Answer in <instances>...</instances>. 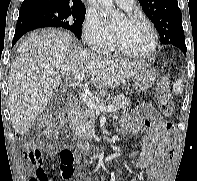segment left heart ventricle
Here are the masks:
<instances>
[{
  "instance_id": "b2bd125f",
  "label": "left heart ventricle",
  "mask_w": 197,
  "mask_h": 181,
  "mask_svg": "<svg viewBox=\"0 0 197 181\" xmlns=\"http://www.w3.org/2000/svg\"><path fill=\"white\" fill-rule=\"evenodd\" d=\"M113 32L120 43L131 52L145 53L152 45V33L142 23H131L125 19L113 29Z\"/></svg>"
}]
</instances>
